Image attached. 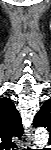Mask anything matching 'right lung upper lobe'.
I'll return each instance as SVG.
<instances>
[{"mask_svg": "<svg viewBox=\"0 0 51 150\" xmlns=\"http://www.w3.org/2000/svg\"><path fill=\"white\" fill-rule=\"evenodd\" d=\"M23 131L21 117L9 98L0 99V142L4 149L15 147L13 137H20Z\"/></svg>", "mask_w": 51, "mask_h": 150, "instance_id": "right-lung-upper-lobe-1", "label": "right lung upper lobe"}]
</instances>
